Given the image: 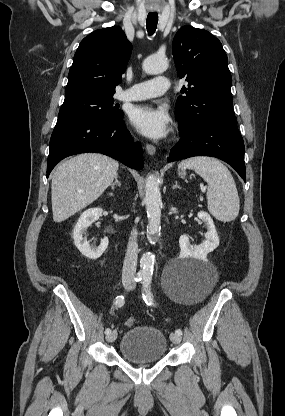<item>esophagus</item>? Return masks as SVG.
<instances>
[{
  "label": "esophagus",
  "mask_w": 285,
  "mask_h": 416,
  "mask_svg": "<svg viewBox=\"0 0 285 416\" xmlns=\"http://www.w3.org/2000/svg\"><path fill=\"white\" fill-rule=\"evenodd\" d=\"M146 150L149 155H154L156 152V148L154 145H150L149 143L146 144Z\"/></svg>",
  "instance_id": "obj_1"
}]
</instances>
